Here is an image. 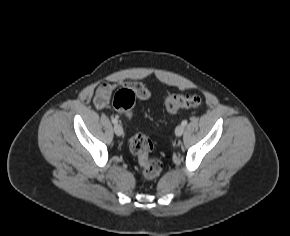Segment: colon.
Returning a JSON list of instances; mask_svg holds the SVG:
<instances>
[{
    "label": "colon",
    "mask_w": 290,
    "mask_h": 236,
    "mask_svg": "<svg viewBox=\"0 0 290 236\" xmlns=\"http://www.w3.org/2000/svg\"><path fill=\"white\" fill-rule=\"evenodd\" d=\"M137 92L134 88L124 86L114 96L115 109L131 118L134 115V105ZM202 98L198 94L172 93L165 100V108L169 114H175L180 108L198 107ZM130 151L137 157L142 168L143 176L147 180L156 179L163 170V163L158 158H153L150 153L153 149L151 139L144 133H135L129 141Z\"/></svg>",
    "instance_id": "5ec220e1"
}]
</instances>
